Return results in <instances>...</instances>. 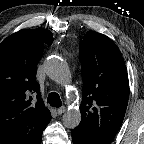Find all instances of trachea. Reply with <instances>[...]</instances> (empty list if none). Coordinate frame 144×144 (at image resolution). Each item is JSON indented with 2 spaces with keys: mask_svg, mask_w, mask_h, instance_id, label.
Here are the masks:
<instances>
[{
  "mask_svg": "<svg viewBox=\"0 0 144 144\" xmlns=\"http://www.w3.org/2000/svg\"><path fill=\"white\" fill-rule=\"evenodd\" d=\"M47 102L52 106V107H61L62 102L59 97V95L56 92H51L48 95Z\"/></svg>",
  "mask_w": 144,
  "mask_h": 144,
  "instance_id": "3493384b",
  "label": "trachea"
}]
</instances>
